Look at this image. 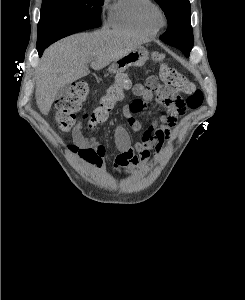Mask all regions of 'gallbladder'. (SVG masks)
<instances>
[{
  "label": "gallbladder",
  "instance_id": "bac80fb5",
  "mask_svg": "<svg viewBox=\"0 0 245 300\" xmlns=\"http://www.w3.org/2000/svg\"><path fill=\"white\" fill-rule=\"evenodd\" d=\"M69 91H70V87H69V85H66L58 92L57 97L68 94Z\"/></svg>",
  "mask_w": 245,
  "mask_h": 300
}]
</instances>
